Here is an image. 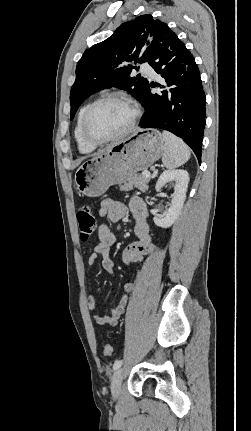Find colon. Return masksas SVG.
I'll return each instance as SVG.
<instances>
[{
  "label": "colon",
  "instance_id": "1",
  "mask_svg": "<svg viewBox=\"0 0 251 431\" xmlns=\"http://www.w3.org/2000/svg\"><path fill=\"white\" fill-rule=\"evenodd\" d=\"M77 221L79 225L80 238L82 241H87L95 231L96 218L92 208L88 205L81 206L77 211ZM113 353L112 347L105 344L103 354L110 357Z\"/></svg>",
  "mask_w": 251,
  "mask_h": 431
}]
</instances>
